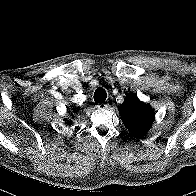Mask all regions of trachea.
<instances>
[{"label":"trachea","mask_w":196,"mask_h":196,"mask_svg":"<svg viewBox=\"0 0 196 196\" xmlns=\"http://www.w3.org/2000/svg\"><path fill=\"white\" fill-rule=\"evenodd\" d=\"M107 98V93L104 88L99 87L94 92V101L96 103H103Z\"/></svg>","instance_id":"1"}]
</instances>
